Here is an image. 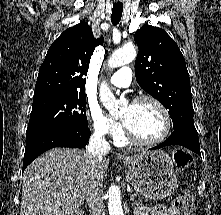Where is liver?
Here are the masks:
<instances>
[{
    "instance_id": "liver-1",
    "label": "liver",
    "mask_w": 221,
    "mask_h": 215,
    "mask_svg": "<svg viewBox=\"0 0 221 215\" xmlns=\"http://www.w3.org/2000/svg\"><path fill=\"white\" fill-rule=\"evenodd\" d=\"M108 166L81 150H48L24 171L20 215H74L92 186L102 188Z\"/></svg>"
}]
</instances>
